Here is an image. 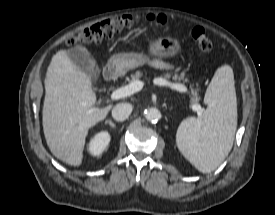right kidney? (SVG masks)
<instances>
[{
	"mask_svg": "<svg viewBox=\"0 0 275 215\" xmlns=\"http://www.w3.org/2000/svg\"><path fill=\"white\" fill-rule=\"evenodd\" d=\"M110 142V135L108 132H100L96 134L88 145V150L90 154L97 156L100 155Z\"/></svg>",
	"mask_w": 275,
	"mask_h": 215,
	"instance_id": "ca27d5eb",
	"label": "right kidney"
}]
</instances>
